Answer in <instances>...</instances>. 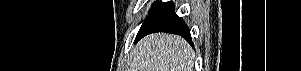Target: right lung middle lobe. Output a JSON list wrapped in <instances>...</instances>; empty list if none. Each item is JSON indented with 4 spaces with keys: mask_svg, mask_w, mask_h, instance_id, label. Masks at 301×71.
I'll return each instance as SVG.
<instances>
[{
    "mask_svg": "<svg viewBox=\"0 0 301 71\" xmlns=\"http://www.w3.org/2000/svg\"><path fill=\"white\" fill-rule=\"evenodd\" d=\"M156 5H157V2L154 3V4L152 5L151 10H152Z\"/></svg>",
    "mask_w": 301,
    "mask_h": 71,
    "instance_id": "1",
    "label": "right lung middle lobe"
}]
</instances>
